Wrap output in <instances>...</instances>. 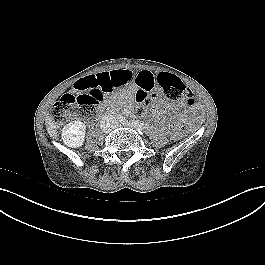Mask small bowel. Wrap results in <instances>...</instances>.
I'll list each match as a JSON object with an SVG mask.
<instances>
[{"label": "small bowel", "instance_id": "obj_1", "mask_svg": "<svg viewBox=\"0 0 265 265\" xmlns=\"http://www.w3.org/2000/svg\"><path fill=\"white\" fill-rule=\"evenodd\" d=\"M96 76H104L114 83L117 88L127 87L130 93L137 88L157 90L159 88V75L150 71H142L138 75L133 74L129 70H113L102 72ZM183 108L182 102L172 105L167 104L162 108H156L152 111L153 116H163L174 109ZM199 109V108H198Z\"/></svg>", "mask_w": 265, "mask_h": 265}]
</instances>
